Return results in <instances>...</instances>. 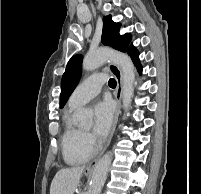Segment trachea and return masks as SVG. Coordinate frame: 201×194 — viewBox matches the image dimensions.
I'll return each instance as SVG.
<instances>
[{
	"label": "trachea",
	"mask_w": 201,
	"mask_h": 194,
	"mask_svg": "<svg viewBox=\"0 0 201 194\" xmlns=\"http://www.w3.org/2000/svg\"><path fill=\"white\" fill-rule=\"evenodd\" d=\"M108 85H109L110 87H116V80L113 79V78H111V79L109 80V82H108Z\"/></svg>",
	"instance_id": "trachea-1"
}]
</instances>
